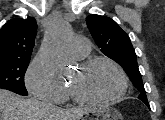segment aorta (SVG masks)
I'll list each match as a JSON object with an SVG mask.
<instances>
[{
  "instance_id": "762f6f07",
  "label": "aorta",
  "mask_w": 165,
  "mask_h": 120,
  "mask_svg": "<svg viewBox=\"0 0 165 120\" xmlns=\"http://www.w3.org/2000/svg\"><path fill=\"white\" fill-rule=\"evenodd\" d=\"M69 28L68 22L61 17L52 18L38 52L44 66L55 77L66 70L67 62L63 58V48Z\"/></svg>"
}]
</instances>
